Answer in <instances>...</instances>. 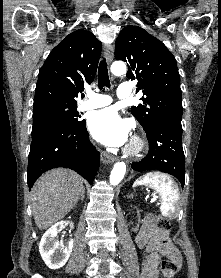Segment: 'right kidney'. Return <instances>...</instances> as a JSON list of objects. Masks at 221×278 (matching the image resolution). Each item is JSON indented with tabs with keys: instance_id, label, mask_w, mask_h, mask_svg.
<instances>
[{
	"instance_id": "ca27d5eb",
	"label": "right kidney",
	"mask_w": 221,
	"mask_h": 278,
	"mask_svg": "<svg viewBox=\"0 0 221 278\" xmlns=\"http://www.w3.org/2000/svg\"><path fill=\"white\" fill-rule=\"evenodd\" d=\"M68 222H58L48 229L39 244L40 255L45 264L50 269H59L68 261L73 249V239L68 241L67 245H60L58 241V233L64 228ZM73 227V224H70Z\"/></svg>"
}]
</instances>
